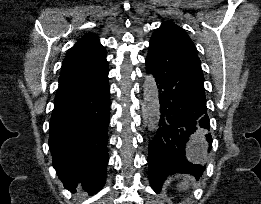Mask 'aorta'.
Here are the masks:
<instances>
[{
	"mask_svg": "<svg viewBox=\"0 0 261 204\" xmlns=\"http://www.w3.org/2000/svg\"><path fill=\"white\" fill-rule=\"evenodd\" d=\"M143 96L147 126L150 132H155L160 120V104L156 80L152 74L144 77Z\"/></svg>",
	"mask_w": 261,
	"mask_h": 204,
	"instance_id": "obj_1",
	"label": "aorta"
}]
</instances>
